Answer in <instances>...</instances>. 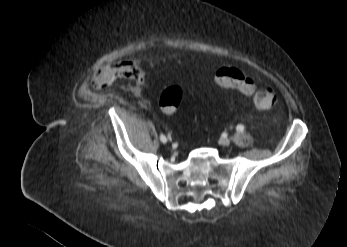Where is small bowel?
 Listing matches in <instances>:
<instances>
[{
	"mask_svg": "<svg viewBox=\"0 0 347 247\" xmlns=\"http://www.w3.org/2000/svg\"><path fill=\"white\" fill-rule=\"evenodd\" d=\"M117 78H125L129 88L139 93L144 85V76L140 67L134 61H125L115 65H107L93 76L95 86L109 84Z\"/></svg>",
	"mask_w": 347,
	"mask_h": 247,
	"instance_id": "obj_1",
	"label": "small bowel"
}]
</instances>
